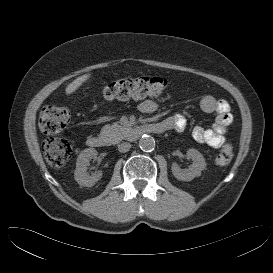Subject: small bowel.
I'll return each mask as SVG.
<instances>
[{"label":"small bowel","mask_w":273,"mask_h":273,"mask_svg":"<svg viewBox=\"0 0 273 273\" xmlns=\"http://www.w3.org/2000/svg\"><path fill=\"white\" fill-rule=\"evenodd\" d=\"M200 108L203 112L215 113L216 116L210 127H194L192 136L200 144L219 149L226 141L227 129L232 121L230 105L224 99L206 95L200 101ZM139 110L144 114H153L157 111V104L152 100H145L139 104ZM163 124L168 130H173L180 134L185 131L187 120L183 114L178 113L166 118Z\"/></svg>","instance_id":"small-bowel-1"}]
</instances>
